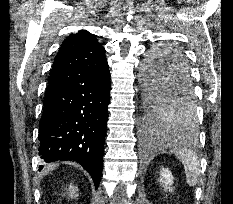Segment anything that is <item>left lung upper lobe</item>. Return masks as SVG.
<instances>
[{"label": "left lung upper lobe", "mask_w": 233, "mask_h": 204, "mask_svg": "<svg viewBox=\"0 0 233 204\" xmlns=\"http://www.w3.org/2000/svg\"><path fill=\"white\" fill-rule=\"evenodd\" d=\"M181 60L186 62L180 48L168 44L154 48L146 58L143 66L146 122H155L168 131L193 132L197 125L193 88L173 94L172 98L163 88Z\"/></svg>", "instance_id": "left-lung-upper-lobe-1"}]
</instances>
